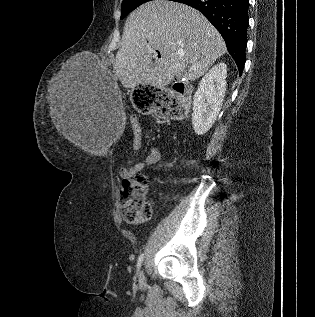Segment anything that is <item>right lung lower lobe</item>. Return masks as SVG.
<instances>
[{
  "label": "right lung lower lobe",
  "mask_w": 315,
  "mask_h": 317,
  "mask_svg": "<svg viewBox=\"0 0 315 317\" xmlns=\"http://www.w3.org/2000/svg\"><path fill=\"white\" fill-rule=\"evenodd\" d=\"M198 9L220 32L240 75L245 64L249 0H175Z\"/></svg>",
  "instance_id": "1"
}]
</instances>
